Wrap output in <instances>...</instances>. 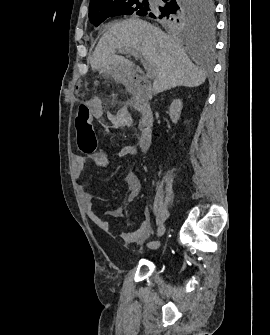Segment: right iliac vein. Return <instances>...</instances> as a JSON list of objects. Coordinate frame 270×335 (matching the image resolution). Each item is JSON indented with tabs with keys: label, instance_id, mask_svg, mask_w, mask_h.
<instances>
[{
	"label": "right iliac vein",
	"instance_id": "obj_1",
	"mask_svg": "<svg viewBox=\"0 0 270 335\" xmlns=\"http://www.w3.org/2000/svg\"><path fill=\"white\" fill-rule=\"evenodd\" d=\"M166 231V226L164 224H161L157 230V236H162Z\"/></svg>",
	"mask_w": 270,
	"mask_h": 335
}]
</instances>
